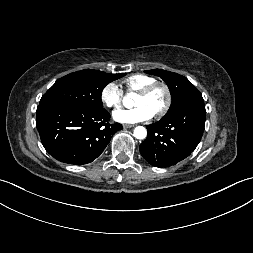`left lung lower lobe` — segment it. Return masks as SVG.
I'll return each instance as SVG.
<instances>
[{"label":"left lung lower lobe","instance_id":"left-lung-lower-lobe-1","mask_svg":"<svg viewBox=\"0 0 253 253\" xmlns=\"http://www.w3.org/2000/svg\"><path fill=\"white\" fill-rule=\"evenodd\" d=\"M206 110L200 92L160 121L147 125L148 136L140 144L144 159L156 167H170L197 147L205 127Z\"/></svg>","mask_w":253,"mask_h":253}]
</instances>
